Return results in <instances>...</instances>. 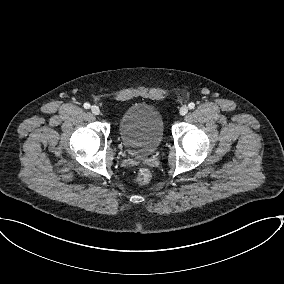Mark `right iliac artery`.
Masks as SVG:
<instances>
[{
  "label": "right iliac artery",
  "mask_w": 284,
  "mask_h": 284,
  "mask_svg": "<svg viewBox=\"0 0 284 284\" xmlns=\"http://www.w3.org/2000/svg\"><path fill=\"white\" fill-rule=\"evenodd\" d=\"M84 108L85 109H89L90 108V104L89 103H84Z\"/></svg>",
  "instance_id": "1"
}]
</instances>
